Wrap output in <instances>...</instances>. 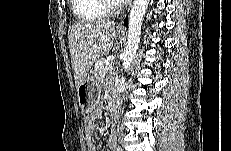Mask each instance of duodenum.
<instances>
[{"mask_svg": "<svg viewBox=\"0 0 231 151\" xmlns=\"http://www.w3.org/2000/svg\"><path fill=\"white\" fill-rule=\"evenodd\" d=\"M118 109H119V101L116 98H113L111 100V104H110L111 114L113 116H117L118 115Z\"/></svg>", "mask_w": 231, "mask_h": 151, "instance_id": "obj_1", "label": "duodenum"}]
</instances>
